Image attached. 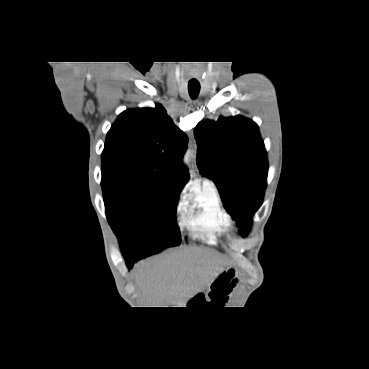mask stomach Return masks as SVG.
Returning a JSON list of instances; mask_svg holds the SVG:
<instances>
[{
    "mask_svg": "<svg viewBox=\"0 0 369 369\" xmlns=\"http://www.w3.org/2000/svg\"><path fill=\"white\" fill-rule=\"evenodd\" d=\"M240 276L234 268H226L220 271L217 276L210 282L207 295L213 299H217L222 305L230 298L232 292L238 287Z\"/></svg>",
    "mask_w": 369,
    "mask_h": 369,
    "instance_id": "stomach-1",
    "label": "stomach"
}]
</instances>
